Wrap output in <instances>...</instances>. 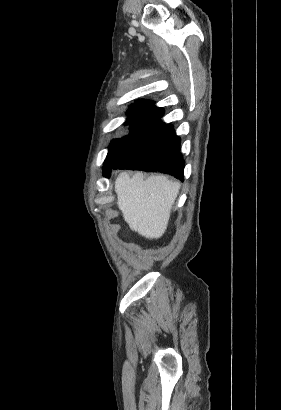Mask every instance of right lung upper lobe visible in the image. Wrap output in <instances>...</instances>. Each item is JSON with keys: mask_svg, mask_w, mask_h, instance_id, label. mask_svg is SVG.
<instances>
[{"mask_svg": "<svg viewBox=\"0 0 281 410\" xmlns=\"http://www.w3.org/2000/svg\"><path fill=\"white\" fill-rule=\"evenodd\" d=\"M134 106H145V107H152V108H156V109H162V108H157L156 106H154L152 101L149 100H137V103Z\"/></svg>", "mask_w": 281, "mask_h": 410, "instance_id": "obj_1", "label": "right lung upper lobe"}]
</instances>
